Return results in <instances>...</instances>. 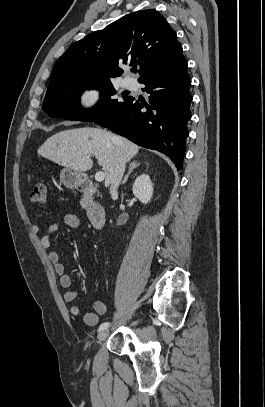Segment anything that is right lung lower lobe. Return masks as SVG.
<instances>
[{
  "instance_id": "right-lung-lower-lobe-1",
  "label": "right lung lower lobe",
  "mask_w": 265,
  "mask_h": 407,
  "mask_svg": "<svg viewBox=\"0 0 265 407\" xmlns=\"http://www.w3.org/2000/svg\"><path fill=\"white\" fill-rule=\"evenodd\" d=\"M187 68L181 53L139 81L150 94L148 103L128 97L94 122L140 146L166 154L181 170L189 134L187 122L191 118V79Z\"/></svg>"
}]
</instances>
